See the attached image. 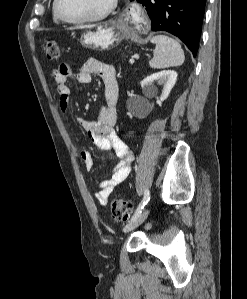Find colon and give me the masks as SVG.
<instances>
[{"label":"colon","mask_w":247,"mask_h":299,"mask_svg":"<svg viewBox=\"0 0 247 299\" xmlns=\"http://www.w3.org/2000/svg\"><path fill=\"white\" fill-rule=\"evenodd\" d=\"M44 53L47 59L57 60L59 58V48L55 40L49 39L45 41ZM132 204L123 198H115L111 202V212L115 219L126 221L129 217Z\"/></svg>","instance_id":"5ec220e1"}]
</instances>
